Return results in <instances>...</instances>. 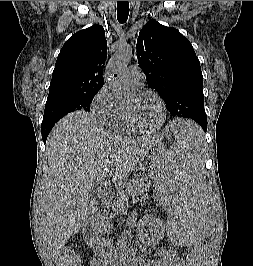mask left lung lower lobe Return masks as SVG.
Here are the masks:
<instances>
[{
	"mask_svg": "<svg viewBox=\"0 0 253 266\" xmlns=\"http://www.w3.org/2000/svg\"><path fill=\"white\" fill-rule=\"evenodd\" d=\"M202 128H203V130L206 132V130H207V127H205V126H202Z\"/></svg>",
	"mask_w": 253,
	"mask_h": 266,
	"instance_id": "1",
	"label": "left lung lower lobe"
}]
</instances>
